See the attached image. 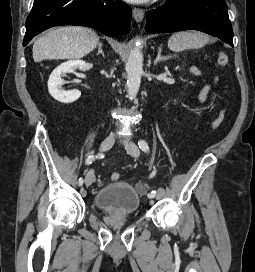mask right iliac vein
I'll list each match as a JSON object with an SVG mask.
<instances>
[{"label": "right iliac vein", "mask_w": 255, "mask_h": 272, "mask_svg": "<svg viewBox=\"0 0 255 272\" xmlns=\"http://www.w3.org/2000/svg\"><path fill=\"white\" fill-rule=\"evenodd\" d=\"M115 142V136L114 135H109L105 140L101 143L100 145V151L104 152L109 150ZM94 181V171L90 170L86 177H85V185L88 187L90 186Z\"/></svg>", "instance_id": "right-iliac-vein-1"}]
</instances>
